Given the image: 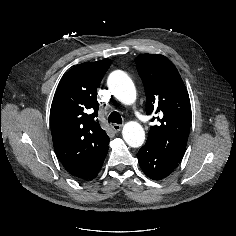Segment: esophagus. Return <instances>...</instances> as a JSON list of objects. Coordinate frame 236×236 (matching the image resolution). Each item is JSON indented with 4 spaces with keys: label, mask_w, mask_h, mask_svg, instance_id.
<instances>
[{
    "label": "esophagus",
    "mask_w": 236,
    "mask_h": 236,
    "mask_svg": "<svg viewBox=\"0 0 236 236\" xmlns=\"http://www.w3.org/2000/svg\"><path fill=\"white\" fill-rule=\"evenodd\" d=\"M111 127H112V129H113L115 132H118V131L121 130L122 125H120V124H113Z\"/></svg>",
    "instance_id": "1"
}]
</instances>
